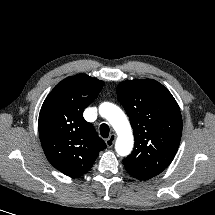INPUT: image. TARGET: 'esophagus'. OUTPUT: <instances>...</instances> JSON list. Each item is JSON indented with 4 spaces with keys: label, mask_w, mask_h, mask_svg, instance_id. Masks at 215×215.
Returning a JSON list of instances; mask_svg holds the SVG:
<instances>
[{
    "label": "esophagus",
    "mask_w": 215,
    "mask_h": 215,
    "mask_svg": "<svg viewBox=\"0 0 215 215\" xmlns=\"http://www.w3.org/2000/svg\"><path fill=\"white\" fill-rule=\"evenodd\" d=\"M115 139H116V135L115 134H111L109 136V138L106 139V141H105L107 147L111 148L113 146L114 142H115Z\"/></svg>",
    "instance_id": "obj_1"
}]
</instances>
